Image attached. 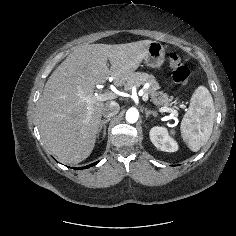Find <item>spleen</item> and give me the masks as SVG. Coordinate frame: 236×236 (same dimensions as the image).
Masks as SVG:
<instances>
[{"label": "spleen", "instance_id": "1", "mask_svg": "<svg viewBox=\"0 0 236 236\" xmlns=\"http://www.w3.org/2000/svg\"><path fill=\"white\" fill-rule=\"evenodd\" d=\"M215 118L213 98L205 86H199L192 95L188 111L181 122L182 138L197 152L210 138ZM174 133V131H171Z\"/></svg>", "mask_w": 236, "mask_h": 236}]
</instances>
